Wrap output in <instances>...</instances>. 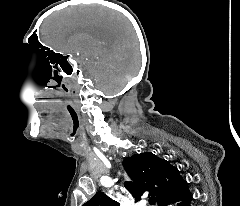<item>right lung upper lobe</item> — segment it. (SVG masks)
I'll return each mask as SVG.
<instances>
[{
  "instance_id": "cb5924a9",
  "label": "right lung upper lobe",
  "mask_w": 240,
  "mask_h": 206,
  "mask_svg": "<svg viewBox=\"0 0 240 206\" xmlns=\"http://www.w3.org/2000/svg\"><path fill=\"white\" fill-rule=\"evenodd\" d=\"M123 166L132 180L125 182V187L134 195L135 201H138L146 190L155 198L158 205L187 184L176 167L151 152L128 157L124 160ZM83 206H119V204L106 194L97 192Z\"/></svg>"
}]
</instances>
